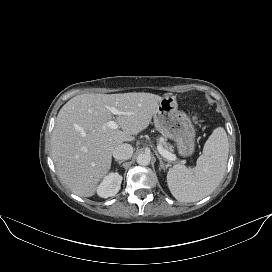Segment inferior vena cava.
<instances>
[{
    "label": "inferior vena cava",
    "instance_id": "inferior-vena-cava-1",
    "mask_svg": "<svg viewBox=\"0 0 272 272\" xmlns=\"http://www.w3.org/2000/svg\"><path fill=\"white\" fill-rule=\"evenodd\" d=\"M112 154L116 160H128L132 157L133 147L130 144H121L115 147Z\"/></svg>",
    "mask_w": 272,
    "mask_h": 272
}]
</instances>
